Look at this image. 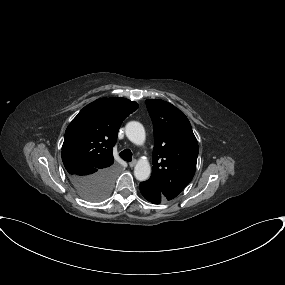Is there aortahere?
Returning a JSON list of instances; mask_svg holds the SVG:
<instances>
[{
	"label": "aorta",
	"mask_w": 285,
	"mask_h": 285,
	"mask_svg": "<svg viewBox=\"0 0 285 285\" xmlns=\"http://www.w3.org/2000/svg\"><path fill=\"white\" fill-rule=\"evenodd\" d=\"M127 138L136 145H142L145 142L146 134L143 125L137 121L127 123L125 127ZM151 167L147 160H139L134 168L135 178L139 181H145L150 177Z\"/></svg>",
	"instance_id": "762f6f07"
}]
</instances>
